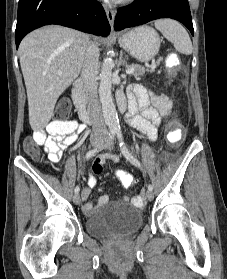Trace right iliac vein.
I'll list each match as a JSON object with an SVG mask.
<instances>
[{
    "instance_id": "1",
    "label": "right iliac vein",
    "mask_w": 227,
    "mask_h": 279,
    "mask_svg": "<svg viewBox=\"0 0 227 279\" xmlns=\"http://www.w3.org/2000/svg\"><path fill=\"white\" fill-rule=\"evenodd\" d=\"M103 143V138H98V139H95L91 142V145L93 148H98L100 147V145ZM73 202L76 204V205H79L80 202H81V198L79 196V194H75L74 197H73Z\"/></svg>"
}]
</instances>
